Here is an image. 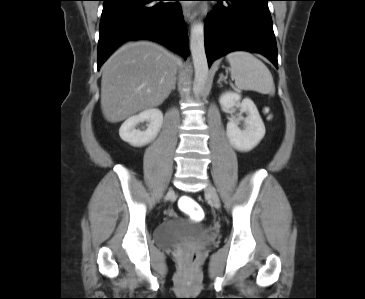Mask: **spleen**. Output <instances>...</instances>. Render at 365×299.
<instances>
[{
  "instance_id": "obj_1",
  "label": "spleen",
  "mask_w": 365,
  "mask_h": 299,
  "mask_svg": "<svg viewBox=\"0 0 365 299\" xmlns=\"http://www.w3.org/2000/svg\"><path fill=\"white\" fill-rule=\"evenodd\" d=\"M231 78L237 88L253 90L262 94L275 92L273 77L266 65L246 51H235L227 55Z\"/></svg>"
}]
</instances>
